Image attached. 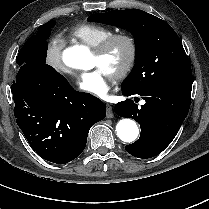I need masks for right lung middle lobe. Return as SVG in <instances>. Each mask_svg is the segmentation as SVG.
<instances>
[{
  "label": "right lung middle lobe",
  "mask_w": 209,
  "mask_h": 209,
  "mask_svg": "<svg viewBox=\"0 0 209 209\" xmlns=\"http://www.w3.org/2000/svg\"><path fill=\"white\" fill-rule=\"evenodd\" d=\"M55 25V21L46 27L38 29L36 35L29 38L18 53L16 63L23 65L29 64H45L47 56L48 44L46 40L49 38L51 28Z\"/></svg>",
  "instance_id": "1"
}]
</instances>
